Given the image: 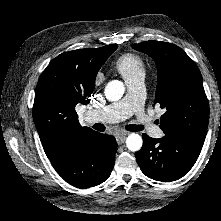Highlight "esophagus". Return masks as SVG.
Here are the masks:
<instances>
[{
    "instance_id": "1",
    "label": "esophagus",
    "mask_w": 221,
    "mask_h": 221,
    "mask_svg": "<svg viewBox=\"0 0 221 221\" xmlns=\"http://www.w3.org/2000/svg\"><path fill=\"white\" fill-rule=\"evenodd\" d=\"M126 132H120L116 135V140L118 144H122L124 143L125 139H126Z\"/></svg>"
}]
</instances>
